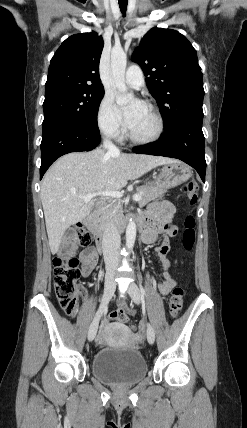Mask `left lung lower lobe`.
Returning a JSON list of instances; mask_svg holds the SVG:
<instances>
[{
	"label": "left lung lower lobe",
	"mask_w": 247,
	"mask_h": 428,
	"mask_svg": "<svg viewBox=\"0 0 247 428\" xmlns=\"http://www.w3.org/2000/svg\"><path fill=\"white\" fill-rule=\"evenodd\" d=\"M204 142L202 119H183L166 127L162 139L157 143L135 147L133 151L180 159L192 166L205 182Z\"/></svg>",
	"instance_id": "obj_1"
}]
</instances>
